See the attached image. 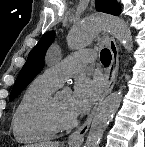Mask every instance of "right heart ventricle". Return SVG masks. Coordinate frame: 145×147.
<instances>
[{"mask_svg":"<svg viewBox=\"0 0 145 147\" xmlns=\"http://www.w3.org/2000/svg\"><path fill=\"white\" fill-rule=\"evenodd\" d=\"M58 85L43 73L27 86L13 116V133L18 140L27 143L46 141L60 131L48 106Z\"/></svg>","mask_w":145,"mask_h":147,"instance_id":"1","label":"right heart ventricle"}]
</instances>
